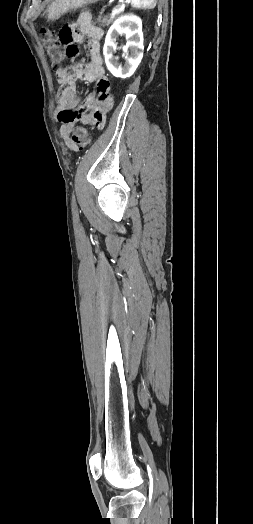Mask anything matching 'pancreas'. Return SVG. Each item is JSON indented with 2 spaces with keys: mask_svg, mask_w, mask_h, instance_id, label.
<instances>
[{
  "mask_svg": "<svg viewBox=\"0 0 253 524\" xmlns=\"http://www.w3.org/2000/svg\"><path fill=\"white\" fill-rule=\"evenodd\" d=\"M115 19V16H101L99 15L98 18H97V22L102 26V27H105V26H108L109 24H111Z\"/></svg>",
  "mask_w": 253,
  "mask_h": 524,
  "instance_id": "obj_1",
  "label": "pancreas"
}]
</instances>
